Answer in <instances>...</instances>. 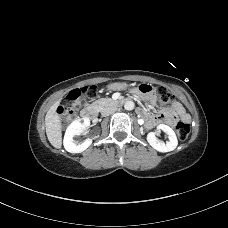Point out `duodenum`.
Wrapping results in <instances>:
<instances>
[{
    "mask_svg": "<svg viewBox=\"0 0 228 228\" xmlns=\"http://www.w3.org/2000/svg\"><path fill=\"white\" fill-rule=\"evenodd\" d=\"M131 99H116L113 101V105L122 106L130 103ZM97 116V110L95 108H84L81 111V118L84 120H94Z\"/></svg>",
    "mask_w": 228,
    "mask_h": 228,
    "instance_id": "410a0bca",
    "label": "duodenum"
}]
</instances>
